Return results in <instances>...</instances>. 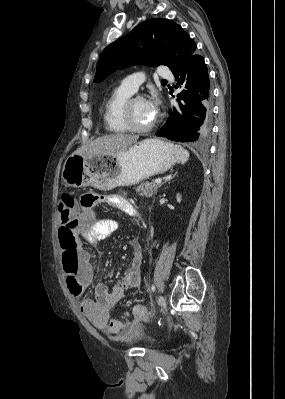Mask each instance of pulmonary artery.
Masks as SVG:
<instances>
[{"instance_id":"obj_1","label":"pulmonary artery","mask_w":285,"mask_h":399,"mask_svg":"<svg viewBox=\"0 0 285 399\" xmlns=\"http://www.w3.org/2000/svg\"><path fill=\"white\" fill-rule=\"evenodd\" d=\"M159 75L162 78L165 79H173L172 73L166 68V67H161L159 71ZM143 81V77L138 75V74H132L126 76L124 79L121 80L120 85L130 91L131 93H134L137 91L138 87Z\"/></svg>"}]
</instances>
